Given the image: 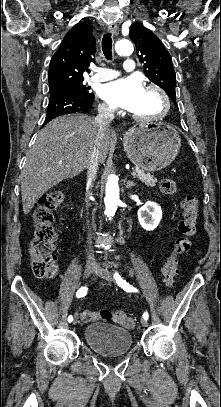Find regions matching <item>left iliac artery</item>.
I'll list each match as a JSON object with an SVG mask.
<instances>
[{
  "label": "left iliac artery",
  "instance_id": "1",
  "mask_svg": "<svg viewBox=\"0 0 221 407\" xmlns=\"http://www.w3.org/2000/svg\"><path fill=\"white\" fill-rule=\"evenodd\" d=\"M114 278L116 279L118 286L121 287L122 289H124L125 291H127V292H137L138 291L136 288L129 285V283H127L126 280H123L117 272H115ZM148 317H149L148 313L145 312L143 314V318L147 320Z\"/></svg>",
  "mask_w": 221,
  "mask_h": 407
}]
</instances>
